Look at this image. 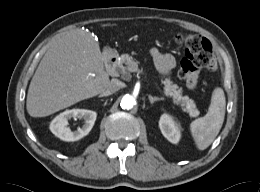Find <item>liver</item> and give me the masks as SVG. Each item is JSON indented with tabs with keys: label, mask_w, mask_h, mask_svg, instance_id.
<instances>
[{
	"label": "liver",
	"mask_w": 260,
	"mask_h": 192,
	"mask_svg": "<svg viewBox=\"0 0 260 192\" xmlns=\"http://www.w3.org/2000/svg\"><path fill=\"white\" fill-rule=\"evenodd\" d=\"M109 83L98 43L90 32L76 29L56 39L43 56L29 85L26 109L32 117L49 116L102 93Z\"/></svg>",
	"instance_id": "liver-1"
}]
</instances>
